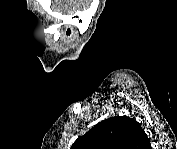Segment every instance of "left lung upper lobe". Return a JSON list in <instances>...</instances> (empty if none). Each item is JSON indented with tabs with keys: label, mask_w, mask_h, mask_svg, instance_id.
Masks as SVG:
<instances>
[{
	"label": "left lung upper lobe",
	"mask_w": 177,
	"mask_h": 149,
	"mask_svg": "<svg viewBox=\"0 0 177 149\" xmlns=\"http://www.w3.org/2000/svg\"><path fill=\"white\" fill-rule=\"evenodd\" d=\"M140 123L127 116L105 119L80 136L71 149H147Z\"/></svg>",
	"instance_id": "1"
}]
</instances>
